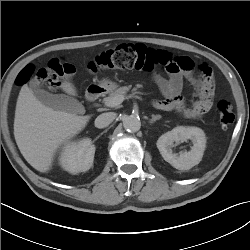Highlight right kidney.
Listing matches in <instances>:
<instances>
[{"label": "right kidney", "mask_w": 250, "mask_h": 250, "mask_svg": "<svg viewBox=\"0 0 250 250\" xmlns=\"http://www.w3.org/2000/svg\"><path fill=\"white\" fill-rule=\"evenodd\" d=\"M95 146L89 138L68 143L59 158L61 167L72 174L85 172L93 165Z\"/></svg>", "instance_id": "1"}]
</instances>
